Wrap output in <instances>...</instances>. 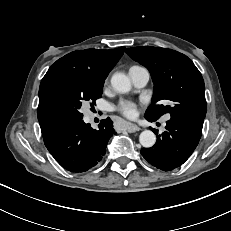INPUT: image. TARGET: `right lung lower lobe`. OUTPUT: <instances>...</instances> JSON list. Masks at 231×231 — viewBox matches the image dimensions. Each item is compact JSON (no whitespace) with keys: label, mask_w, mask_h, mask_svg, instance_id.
Returning <instances> with one entry per match:
<instances>
[{"label":"right lung lower lobe","mask_w":231,"mask_h":231,"mask_svg":"<svg viewBox=\"0 0 231 231\" xmlns=\"http://www.w3.org/2000/svg\"><path fill=\"white\" fill-rule=\"evenodd\" d=\"M114 134L113 122L109 118L100 122L98 130L81 119L62 124L43 136V140L63 168L71 172H84L100 162L107 142Z\"/></svg>","instance_id":"1"}]
</instances>
